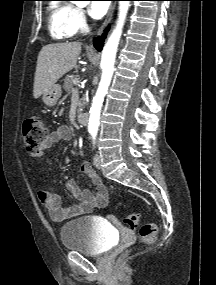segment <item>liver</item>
<instances>
[{
	"instance_id": "6515ba94",
	"label": "liver",
	"mask_w": 216,
	"mask_h": 285,
	"mask_svg": "<svg viewBox=\"0 0 216 285\" xmlns=\"http://www.w3.org/2000/svg\"><path fill=\"white\" fill-rule=\"evenodd\" d=\"M81 52L80 42L54 43L45 45L39 52L34 78L33 96L39 98L64 74L77 65Z\"/></svg>"
}]
</instances>
